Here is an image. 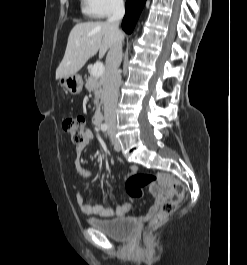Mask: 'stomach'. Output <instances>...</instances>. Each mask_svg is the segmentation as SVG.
Listing matches in <instances>:
<instances>
[{
  "mask_svg": "<svg viewBox=\"0 0 247 265\" xmlns=\"http://www.w3.org/2000/svg\"><path fill=\"white\" fill-rule=\"evenodd\" d=\"M58 85L69 91L72 95H77L82 91L83 79L79 74H73L58 79Z\"/></svg>",
  "mask_w": 247,
  "mask_h": 265,
  "instance_id": "stomach-1",
  "label": "stomach"
}]
</instances>
